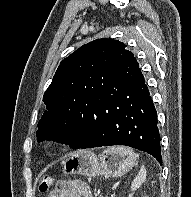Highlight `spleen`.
Here are the masks:
<instances>
[{"label": "spleen", "instance_id": "spleen-1", "mask_svg": "<svg viewBox=\"0 0 191 197\" xmlns=\"http://www.w3.org/2000/svg\"><path fill=\"white\" fill-rule=\"evenodd\" d=\"M111 149L119 154L127 156L130 162L135 163L137 155L133 149L123 146L113 147ZM145 179H146V169L144 166H141L137 176L134 178V180L131 183V189L136 190L137 188H139L142 185V183L145 181Z\"/></svg>", "mask_w": 191, "mask_h": 197}]
</instances>
